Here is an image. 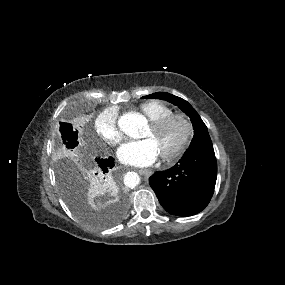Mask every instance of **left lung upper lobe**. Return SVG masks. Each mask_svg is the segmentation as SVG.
<instances>
[{
    "instance_id": "left-lung-upper-lobe-1",
    "label": "left lung upper lobe",
    "mask_w": 285,
    "mask_h": 285,
    "mask_svg": "<svg viewBox=\"0 0 285 285\" xmlns=\"http://www.w3.org/2000/svg\"><path fill=\"white\" fill-rule=\"evenodd\" d=\"M145 99H162L178 106L186 115L190 117L193 124L194 137L192 144L187 151L193 149L195 146L203 144H212L208 130L195 109L184 99L174 96L166 92H157L151 95L144 96Z\"/></svg>"
}]
</instances>
